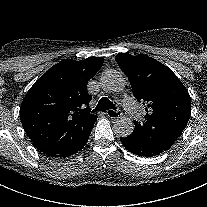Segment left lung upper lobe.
I'll use <instances>...</instances> for the list:
<instances>
[{
    "label": "left lung upper lobe",
    "instance_id": "1",
    "mask_svg": "<svg viewBox=\"0 0 207 207\" xmlns=\"http://www.w3.org/2000/svg\"><path fill=\"white\" fill-rule=\"evenodd\" d=\"M116 61L128 77L133 94L146 105L145 121L132 134L168 150L182 134L191 114L190 95L174 72L146 55L119 53Z\"/></svg>",
    "mask_w": 207,
    "mask_h": 207
}]
</instances>
